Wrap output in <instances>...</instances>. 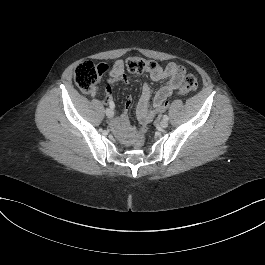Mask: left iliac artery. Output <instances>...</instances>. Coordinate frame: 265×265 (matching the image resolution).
Returning a JSON list of instances; mask_svg holds the SVG:
<instances>
[{"label": "left iliac artery", "instance_id": "1", "mask_svg": "<svg viewBox=\"0 0 265 265\" xmlns=\"http://www.w3.org/2000/svg\"><path fill=\"white\" fill-rule=\"evenodd\" d=\"M163 119L166 120V121H168L169 120V117L167 115H164L163 116Z\"/></svg>", "mask_w": 265, "mask_h": 265}]
</instances>
